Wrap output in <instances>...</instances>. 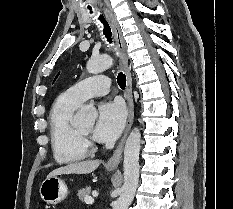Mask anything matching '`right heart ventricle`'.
Returning <instances> with one entry per match:
<instances>
[{
	"label": "right heart ventricle",
	"instance_id": "e07e8e85",
	"mask_svg": "<svg viewBox=\"0 0 233 209\" xmlns=\"http://www.w3.org/2000/svg\"><path fill=\"white\" fill-rule=\"evenodd\" d=\"M80 104L74 102L67 92L53 103L49 115L51 147L55 160L70 164L83 160L87 151L81 144L73 116Z\"/></svg>",
	"mask_w": 233,
	"mask_h": 209
}]
</instances>
